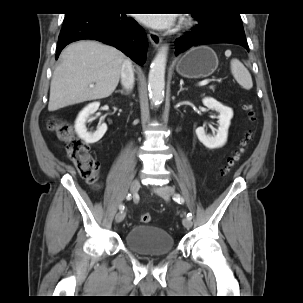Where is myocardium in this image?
<instances>
[{"instance_id": "obj_1", "label": "myocardium", "mask_w": 303, "mask_h": 303, "mask_svg": "<svg viewBox=\"0 0 303 303\" xmlns=\"http://www.w3.org/2000/svg\"><path fill=\"white\" fill-rule=\"evenodd\" d=\"M190 23H191V19H190V18H187V17L184 18V20H183V24H184V25L187 26V25H189Z\"/></svg>"}]
</instances>
